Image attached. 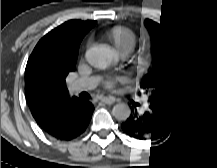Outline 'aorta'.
Returning <instances> with one entry per match:
<instances>
[{
  "label": "aorta",
  "mask_w": 217,
  "mask_h": 168,
  "mask_svg": "<svg viewBox=\"0 0 217 168\" xmlns=\"http://www.w3.org/2000/svg\"><path fill=\"white\" fill-rule=\"evenodd\" d=\"M88 62L98 68H105L110 61L107 50L103 46H96L89 49L86 53ZM113 116L118 120H125L130 115L128 105L124 103L116 104L113 108Z\"/></svg>",
  "instance_id": "1"
}]
</instances>
